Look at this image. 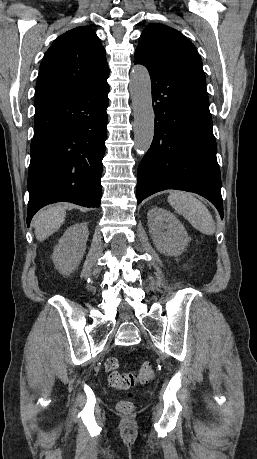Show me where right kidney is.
Wrapping results in <instances>:
<instances>
[{
	"label": "right kidney",
	"mask_w": 257,
	"mask_h": 459,
	"mask_svg": "<svg viewBox=\"0 0 257 459\" xmlns=\"http://www.w3.org/2000/svg\"><path fill=\"white\" fill-rule=\"evenodd\" d=\"M89 231L86 223L70 226L55 246L52 255L56 269L63 275H69L80 264L86 250Z\"/></svg>",
	"instance_id": "right-kidney-1"
}]
</instances>
